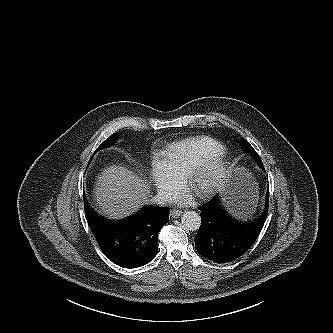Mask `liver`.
Here are the masks:
<instances>
[{
    "label": "liver",
    "instance_id": "6515ba94",
    "mask_svg": "<svg viewBox=\"0 0 333 333\" xmlns=\"http://www.w3.org/2000/svg\"><path fill=\"white\" fill-rule=\"evenodd\" d=\"M149 183L123 165H111L98 177L95 201L102 214L118 219L136 211L147 202Z\"/></svg>",
    "mask_w": 333,
    "mask_h": 333
}]
</instances>
